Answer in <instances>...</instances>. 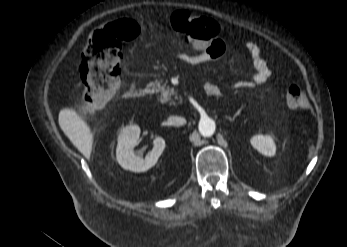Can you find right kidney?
<instances>
[{
    "instance_id": "obj_1",
    "label": "right kidney",
    "mask_w": 347,
    "mask_h": 247,
    "mask_svg": "<svg viewBox=\"0 0 347 247\" xmlns=\"http://www.w3.org/2000/svg\"><path fill=\"white\" fill-rule=\"evenodd\" d=\"M140 136V128L130 125L123 128L118 136L116 159L120 166L132 172H145L153 167L165 149V140L156 137L153 141V149L143 158V153L134 151Z\"/></svg>"
}]
</instances>
